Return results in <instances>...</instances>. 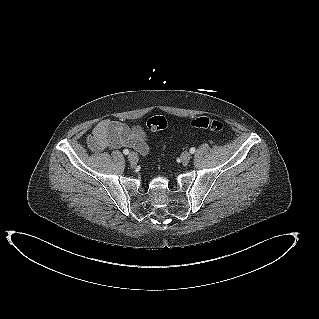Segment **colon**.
<instances>
[{"label":"colon","instance_id":"5ec220e1","mask_svg":"<svg viewBox=\"0 0 319 319\" xmlns=\"http://www.w3.org/2000/svg\"><path fill=\"white\" fill-rule=\"evenodd\" d=\"M169 125V119L162 115H157L147 120V127L152 131L164 130ZM191 126L198 129H208L213 132H221L224 125L221 121L209 117H198L191 121Z\"/></svg>","mask_w":319,"mask_h":319}]
</instances>
